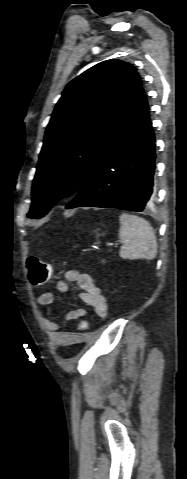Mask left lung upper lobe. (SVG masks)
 Returning a JSON list of instances; mask_svg holds the SVG:
<instances>
[{
    "label": "left lung upper lobe",
    "instance_id": "1",
    "mask_svg": "<svg viewBox=\"0 0 187 479\" xmlns=\"http://www.w3.org/2000/svg\"><path fill=\"white\" fill-rule=\"evenodd\" d=\"M141 86L135 67L115 59L66 86L46 128L28 217L81 189L117 140Z\"/></svg>",
    "mask_w": 187,
    "mask_h": 479
}]
</instances>
